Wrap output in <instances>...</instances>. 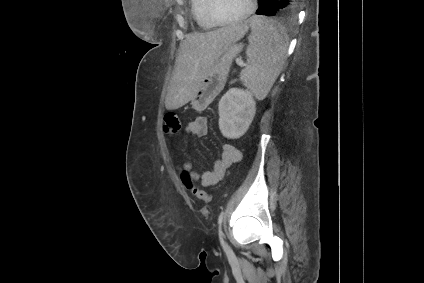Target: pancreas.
<instances>
[{
    "label": "pancreas",
    "instance_id": "pancreas-1",
    "mask_svg": "<svg viewBox=\"0 0 424 283\" xmlns=\"http://www.w3.org/2000/svg\"><path fill=\"white\" fill-rule=\"evenodd\" d=\"M235 81H236V80H233V81H231V82H230V84H233V83H235Z\"/></svg>",
    "mask_w": 424,
    "mask_h": 283
}]
</instances>
